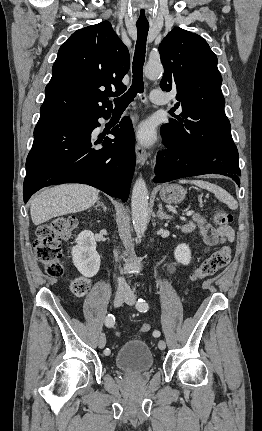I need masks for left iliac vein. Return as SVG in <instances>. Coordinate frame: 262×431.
<instances>
[{
	"label": "left iliac vein",
	"instance_id": "left-iliac-vein-1",
	"mask_svg": "<svg viewBox=\"0 0 262 431\" xmlns=\"http://www.w3.org/2000/svg\"><path fill=\"white\" fill-rule=\"evenodd\" d=\"M135 296L134 294L130 293L127 295L126 299H125V303H127L128 305H134L135 304ZM158 348L160 350H164L166 348V343L164 340H160L158 342Z\"/></svg>",
	"mask_w": 262,
	"mask_h": 431
}]
</instances>
